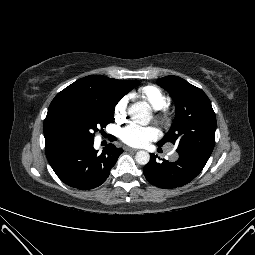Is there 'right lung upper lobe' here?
Wrapping results in <instances>:
<instances>
[{"label":"right lung upper lobe","instance_id":"right-lung-upper-lobe-1","mask_svg":"<svg viewBox=\"0 0 255 255\" xmlns=\"http://www.w3.org/2000/svg\"><path fill=\"white\" fill-rule=\"evenodd\" d=\"M127 81L90 75L75 81L59 92L51 102L44 121L45 147L67 140L63 122L68 111L76 104L87 100L119 101Z\"/></svg>","mask_w":255,"mask_h":255}]
</instances>
